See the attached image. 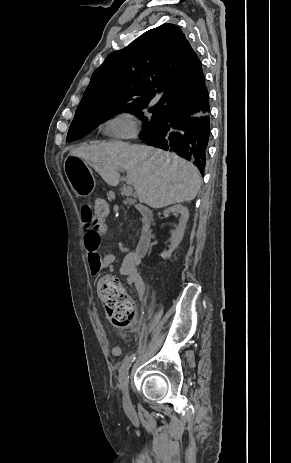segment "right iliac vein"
I'll use <instances>...</instances> for the list:
<instances>
[{
	"label": "right iliac vein",
	"instance_id": "1",
	"mask_svg": "<svg viewBox=\"0 0 291 463\" xmlns=\"http://www.w3.org/2000/svg\"><path fill=\"white\" fill-rule=\"evenodd\" d=\"M122 395H123V406L125 410H130L131 409V401L129 398V393H128V386L122 387Z\"/></svg>",
	"mask_w": 291,
	"mask_h": 463
}]
</instances>
